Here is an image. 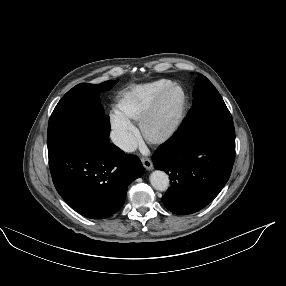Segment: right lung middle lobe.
I'll return each mask as SVG.
<instances>
[{
	"label": "right lung middle lobe",
	"mask_w": 286,
	"mask_h": 286,
	"mask_svg": "<svg viewBox=\"0 0 286 286\" xmlns=\"http://www.w3.org/2000/svg\"><path fill=\"white\" fill-rule=\"evenodd\" d=\"M116 82L81 83L61 98L49 119L48 151L75 138H88L102 147H110L109 117L99 104L98 94L110 90Z\"/></svg>",
	"instance_id": "right-lung-middle-lobe-1"
}]
</instances>
